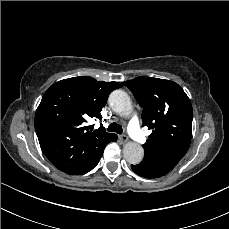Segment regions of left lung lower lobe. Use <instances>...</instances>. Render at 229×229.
Instances as JSON below:
<instances>
[{"label": "left lung lower lobe", "mask_w": 229, "mask_h": 229, "mask_svg": "<svg viewBox=\"0 0 229 229\" xmlns=\"http://www.w3.org/2000/svg\"><path fill=\"white\" fill-rule=\"evenodd\" d=\"M132 170L139 176L145 178H158L160 175L156 174L153 170H151L148 166L139 163L137 165H131Z\"/></svg>", "instance_id": "left-lung-lower-lobe-1"}]
</instances>
